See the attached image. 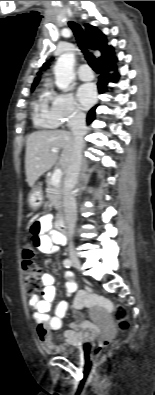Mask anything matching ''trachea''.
Here are the masks:
<instances>
[{
    "instance_id": "obj_1",
    "label": "trachea",
    "mask_w": 155,
    "mask_h": 395,
    "mask_svg": "<svg viewBox=\"0 0 155 395\" xmlns=\"http://www.w3.org/2000/svg\"><path fill=\"white\" fill-rule=\"evenodd\" d=\"M68 24L71 27V29L76 37L78 46L80 47L82 52L85 54V58L88 61V64L94 71L98 72L99 69H98V64H97L96 58L92 54L87 53L88 41H87L86 35L83 32L82 28L77 23L72 22V21H70Z\"/></svg>"
}]
</instances>
